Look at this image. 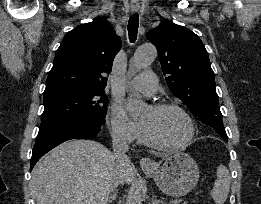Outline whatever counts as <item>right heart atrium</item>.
<instances>
[{
	"label": "right heart atrium",
	"mask_w": 261,
	"mask_h": 204,
	"mask_svg": "<svg viewBox=\"0 0 261 204\" xmlns=\"http://www.w3.org/2000/svg\"><path fill=\"white\" fill-rule=\"evenodd\" d=\"M107 125L113 138L133 143L139 139L141 133L140 125L132 120L119 103H113L109 109Z\"/></svg>",
	"instance_id": "obj_1"
}]
</instances>
